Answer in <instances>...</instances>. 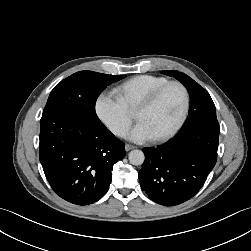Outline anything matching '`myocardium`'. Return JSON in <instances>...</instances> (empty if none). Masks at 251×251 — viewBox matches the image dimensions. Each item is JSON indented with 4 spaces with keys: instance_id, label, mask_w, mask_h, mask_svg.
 I'll use <instances>...</instances> for the list:
<instances>
[{
    "instance_id": "f54148a6",
    "label": "myocardium",
    "mask_w": 251,
    "mask_h": 251,
    "mask_svg": "<svg viewBox=\"0 0 251 251\" xmlns=\"http://www.w3.org/2000/svg\"><path fill=\"white\" fill-rule=\"evenodd\" d=\"M171 86H177L182 90L183 97H184V105H183L182 113L178 121L176 122V124L169 131H167L166 133L160 136L154 137L153 140L156 142H163V141L169 140L170 138L175 136L184 125L187 119L188 113H189V108H190V95H189V91L187 87L179 81H168L167 83L163 84L162 86L157 88L155 91H153L146 99H144L139 104V106L136 109V112H138L141 110L151 108L158 102V100L161 98L163 93Z\"/></svg>"
}]
</instances>
